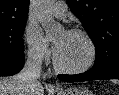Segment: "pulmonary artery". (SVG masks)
<instances>
[{
	"instance_id": "1",
	"label": "pulmonary artery",
	"mask_w": 119,
	"mask_h": 95,
	"mask_svg": "<svg viewBox=\"0 0 119 95\" xmlns=\"http://www.w3.org/2000/svg\"><path fill=\"white\" fill-rule=\"evenodd\" d=\"M52 12L57 18H65L68 12L67 5L62 1H58L53 5Z\"/></svg>"
}]
</instances>
